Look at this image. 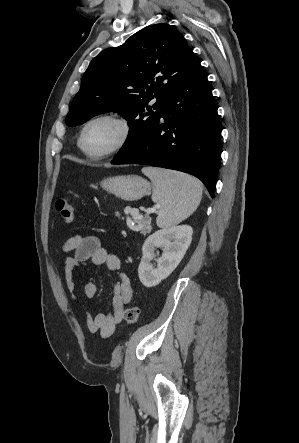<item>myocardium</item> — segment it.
<instances>
[{
	"label": "myocardium",
	"mask_w": 299,
	"mask_h": 443,
	"mask_svg": "<svg viewBox=\"0 0 299 443\" xmlns=\"http://www.w3.org/2000/svg\"><path fill=\"white\" fill-rule=\"evenodd\" d=\"M101 120H109V121H112L115 124H117L120 128V131H121L120 138L108 150H106L102 153H92L89 150H87L84 145L85 133H86L87 128L91 124H93L97 121H101ZM131 133H132L131 123L126 117H124L120 114H117V113H102V114L92 117L83 125L80 135H79L78 145H79L80 149L82 150V152L86 156H88L89 158L96 159V160L104 159V158L112 156V155L118 153L119 151H121L127 145L128 141L130 140Z\"/></svg>",
	"instance_id": "myocardium-1"
}]
</instances>
